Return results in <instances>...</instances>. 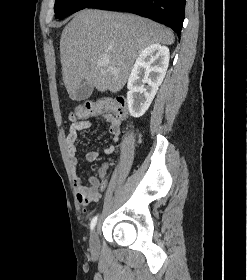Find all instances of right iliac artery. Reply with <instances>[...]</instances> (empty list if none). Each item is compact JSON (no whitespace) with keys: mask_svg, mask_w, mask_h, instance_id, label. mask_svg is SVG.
I'll return each mask as SVG.
<instances>
[{"mask_svg":"<svg viewBox=\"0 0 247 280\" xmlns=\"http://www.w3.org/2000/svg\"><path fill=\"white\" fill-rule=\"evenodd\" d=\"M97 216H95L93 219H92V221H91V223H90V228H91V230H93L94 229V227H95V225H96V223H97Z\"/></svg>","mask_w":247,"mask_h":280,"instance_id":"obj_1","label":"right iliac artery"}]
</instances>
